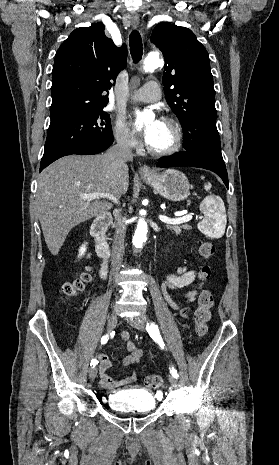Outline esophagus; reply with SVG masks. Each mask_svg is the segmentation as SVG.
Wrapping results in <instances>:
<instances>
[{
	"label": "esophagus",
	"mask_w": 279,
	"mask_h": 465,
	"mask_svg": "<svg viewBox=\"0 0 279 465\" xmlns=\"http://www.w3.org/2000/svg\"><path fill=\"white\" fill-rule=\"evenodd\" d=\"M130 22L132 24L133 27H138L139 23H140V18L137 14H132L130 15ZM139 173L142 175V176H150L152 174V170L149 166L147 165H143L139 168Z\"/></svg>",
	"instance_id": "1"
}]
</instances>
